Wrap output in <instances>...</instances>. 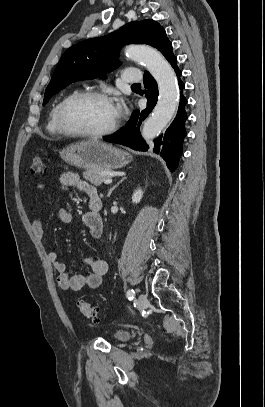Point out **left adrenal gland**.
Returning a JSON list of instances; mask_svg holds the SVG:
<instances>
[{
    "instance_id": "a2214340",
    "label": "left adrenal gland",
    "mask_w": 265,
    "mask_h": 407,
    "mask_svg": "<svg viewBox=\"0 0 265 407\" xmlns=\"http://www.w3.org/2000/svg\"><path fill=\"white\" fill-rule=\"evenodd\" d=\"M125 179H126L125 176L122 177V179H121L115 186H113L112 188H110V190H109V192H108V197H110V195H111V193L113 192V190H114L117 186H119V184L122 183L123 180H125Z\"/></svg>"
}]
</instances>
